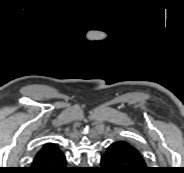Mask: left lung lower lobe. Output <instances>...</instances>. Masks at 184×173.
<instances>
[{
	"label": "left lung lower lobe",
	"mask_w": 184,
	"mask_h": 173,
	"mask_svg": "<svg viewBox=\"0 0 184 173\" xmlns=\"http://www.w3.org/2000/svg\"><path fill=\"white\" fill-rule=\"evenodd\" d=\"M103 173H151L144 157L125 141L112 143L101 158Z\"/></svg>",
	"instance_id": "1"
}]
</instances>
